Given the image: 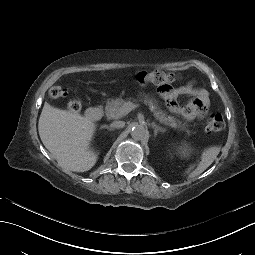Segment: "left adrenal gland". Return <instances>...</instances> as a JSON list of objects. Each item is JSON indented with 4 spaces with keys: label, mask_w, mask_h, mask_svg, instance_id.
<instances>
[{
    "label": "left adrenal gland",
    "mask_w": 255,
    "mask_h": 255,
    "mask_svg": "<svg viewBox=\"0 0 255 255\" xmlns=\"http://www.w3.org/2000/svg\"><path fill=\"white\" fill-rule=\"evenodd\" d=\"M152 128L154 129V136H157L158 131L165 132L166 130L158 125L155 122L151 123Z\"/></svg>",
    "instance_id": "obj_1"
}]
</instances>
